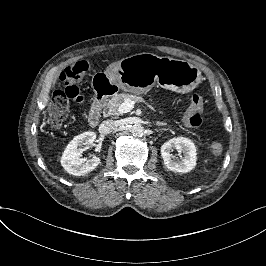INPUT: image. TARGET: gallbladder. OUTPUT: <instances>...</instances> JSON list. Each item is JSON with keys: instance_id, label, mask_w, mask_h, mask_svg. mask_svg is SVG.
I'll return each instance as SVG.
<instances>
[{"instance_id": "bac80fb5", "label": "gallbladder", "mask_w": 266, "mask_h": 266, "mask_svg": "<svg viewBox=\"0 0 266 266\" xmlns=\"http://www.w3.org/2000/svg\"><path fill=\"white\" fill-rule=\"evenodd\" d=\"M106 72L113 73L115 76L119 75V70L117 68H114L113 64L107 68Z\"/></svg>"}]
</instances>
